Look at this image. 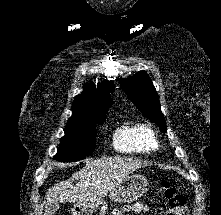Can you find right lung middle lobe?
Here are the masks:
<instances>
[{
  "mask_svg": "<svg viewBox=\"0 0 221 215\" xmlns=\"http://www.w3.org/2000/svg\"><path fill=\"white\" fill-rule=\"evenodd\" d=\"M99 120L71 117L65 127V136L61 139L55 159L64 162H74L90 155L95 148V124Z\"/></svg>",
  "mask_w": 221,
  "mask_h": 215,
  "instance_id": "dd1d6c3e",
  "label": "right lung middle lobe"
}]
</instances>
